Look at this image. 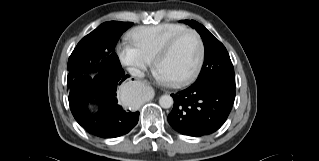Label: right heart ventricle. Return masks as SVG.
Masks as SVG:
<instances>
[{
	"mask_svg": "<svg viewBox=\"0 0 319 161\" xmlns=\"http://www.w3.org/2000/svg\"><path fill=\"white\" fill-rule=\"evenodd\" d=\"M188 28L176 23H162L134 29L130 33L132 44L150 61H152L163 45L174 35Z\"/></svg>",
	"mask_w": 319,
	"mask_h": 161,
	"instance_id": "obj_1",
	"label": "right heart ventricle"
}]
</instances>
